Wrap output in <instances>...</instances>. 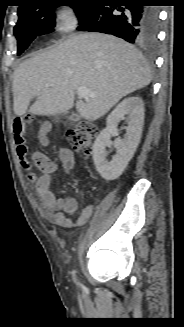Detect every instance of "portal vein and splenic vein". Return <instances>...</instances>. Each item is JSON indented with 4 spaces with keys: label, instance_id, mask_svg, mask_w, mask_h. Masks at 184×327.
Wrapping results in <instances>:
<instances>
[{
    "label": "portal vein and splenic vein",
    "instance_id": "1",
    "mask_svg": "<svg viewBox=\"0 0 184 327\" xmlns=\"http://www.w3.org/2000/svg\"><path fill=\"white\" fill-rule=\"evenodd\" d=\"M77 94H78L79 97L94 96V94L90 90H88V89H86L84 87L78 88L77 89Z\"/></svg>",
    "mask_w": 184,
    "mask_h": 327
}]
</instances>
